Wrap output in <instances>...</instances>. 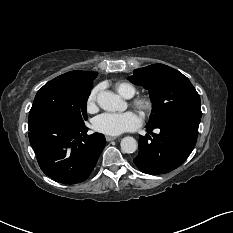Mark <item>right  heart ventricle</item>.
I'll return each mask as SVG.
<instances>
[{"label": "right heart ventricle", "mask_w": 233, "mask_h": 233, "mask_svg": "<svg viewBox=\"0 0 233 233\" xmlns=\"http://www.w3.org/2000/svg\"><path fill=\"white\" fill-rule=\"evenodd\" d=\"M115 89L124 98H131L136 93V88L134 85L127 82H119L115 85Z\"/></svg>", "instance_id": "1"}]
</instances>
